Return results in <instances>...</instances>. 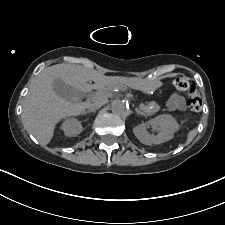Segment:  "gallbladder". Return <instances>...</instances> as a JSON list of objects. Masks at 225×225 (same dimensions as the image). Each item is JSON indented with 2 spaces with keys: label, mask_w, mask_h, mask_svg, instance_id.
Here are the masks:
<instances>
[{
  "label": "gallbladder",
  "mask_w": 225,
  "mask_h": 225,
  "mask_svg": "<svg viewBox=\"0 0 225 225\" xmlns=\"http://www.w3.org/2000/svg\"><path fill=\"white\" fill-rule=\"evenodd\" d=\"M53 89L58 96L64 97L67 100H71L78 93L73 87L59 78L53 81Z\"/></svg>",
  "instance_id": "gallbladder-1"
}]
</instances>
